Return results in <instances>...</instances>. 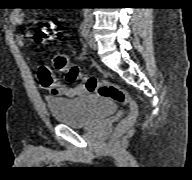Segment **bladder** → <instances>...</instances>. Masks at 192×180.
<instances>
[{
  "instance_id": "bladder-1",
  "label": "bladder",
  "mask_w": 192,
  "mask_h": 180,
  "mask_svg": "<svg viewBox=\"0 0 192 180\" xmlns=\"http://www.w3.org/2000/svg\"><path fill=\"white\" fill-rule=\"evenodd\" d=\"M47 106L53 120L70 127H87L116 112V105L100 96L80 98H48Z\"/></svg>"
}]
</instances>
